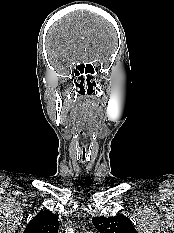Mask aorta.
<instances>
[{"mask_svg":"<svg viewBox=\"0 0 174 233\" xmlns=\"http://www.w3.org/2000/svg\"><path fill=\"white\" fill-rule=\"evenodd\" d=\"M66 233H74V230L72 228L68 227L66 229Z\"/></svg>","mask_w":174,"mask_h":233,"instance_id":"762f6f07","label":"aorta"}]
</instances>
